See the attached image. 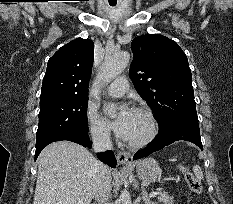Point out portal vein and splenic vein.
Instances as JSON below:
<instances>
[{
  "label": "portal vein and splenic vein",
  "instance_id": "1",
  "mask_svg": "<svg viewBox=\"0 0 233 204\" xmlns=\"http://www.w3.org/2000/svg\"><path fill=\"white\" fill-rule=\"evenodd\" d=\"M158 195V192H152L150 193V197H156Z\"/></svg>",
  "mask_w": 233,
  "mask_h": 204
}]
</instances>
